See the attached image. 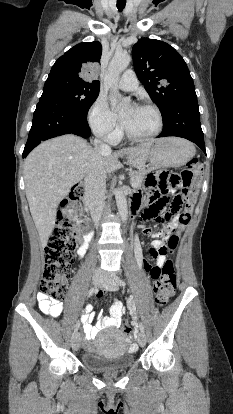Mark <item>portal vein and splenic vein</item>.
Here are the masks:
<instances>
[{
  "label": "portal vein and splenic vein",
  "instance_id": "18ae733b",
  "mask_svg": "<svg viewBox=\"0 0 233 414\" xmlns=\"http://www.w3.org/2000/svg\"><path fill=\"white\" fill-rule=\"evenodd\" d=\"M131 185H132V187L134 186V184H133V183H131Z\"/></svg>",
  "mask_w": 233,
  "mask_h": 414
}]
</instances>
